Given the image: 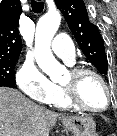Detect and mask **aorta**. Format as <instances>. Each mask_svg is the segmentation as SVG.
I'll list each match as a JSON object with an SVG mask.
<instances>
[{
  "label": "aorta",
  "instance_id": "1",
  "mask_svg": "<svg viewBox=\"0 0 117 136\" xmlns=\"http://www.w3.org/2000/svg\"><path fill=\"white\" fill-rule=\"evenodd\" d=\"M61 22V15L53 10L44 14L38 21L35 34V58L39 67L50 76L57 78L64 67L56 60L51 51V41Z\"/></svg>",
  "mask_w": 117,
  "mask_h": 136
}]
</instances>
